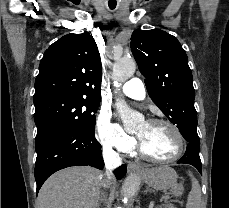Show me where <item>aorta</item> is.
Returning <instances> with one entry per match:
<instances>
[{
  "label": "aorta",
  "mask_w": 229,
  "mask_h": 208,
  "mask_svg": "<svg viewBox=\"0 0 229 208\" xmlns=\"http://www.w3.org/2000/svg\"><path fill=\"white\" fill-rule=\"evenodd\" d=\"M136 70V63L132 59H120L115 62L113 66L112 79L114 84H120L132 77ZM116 109L121 116V119L126 128H133L138 122L142 120V115L128 107L126 102L122 99L116 100ZM140 187V179L137 175H129L123 185L122 194L124 202L127 203L132 200Z\"/></svg>",
  "instance_id": "aorta-1"
}]
</instances>
